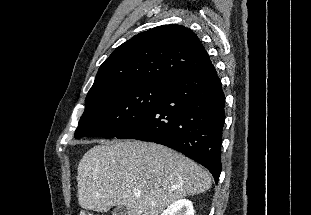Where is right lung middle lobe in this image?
Returning <instances> with one entry per match:
<instances>
[{
  "label": "right lung middle lobe",
  "mask_w": 311,
  "mask_h": 215,
  "mask_svg": "<svg viewBox=\"0 0 311 215\" xmlns=\"http://www.w3.org/2000/svg\"><path fill=\"white\" fill-rule=\"evenodd\" d=\"M166 84H137L97 91L86 97L75 138H113L128 130L162 100Z\"/></svg>",
  "instance_id": "right-lung-middle-lobe-1"
}]
</instances>
